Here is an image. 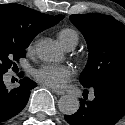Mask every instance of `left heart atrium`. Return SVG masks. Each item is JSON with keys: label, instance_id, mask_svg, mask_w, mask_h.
Listing matches in <instances>:
<instances>
[{"label": "left heart atrium", "instance_id": "39dd6f15", "mask_svg": "<svg viewBox=\"0 0 125 125\" xmlns=\"http://www.w3.org/2000/svg\"><path fill=\"white\" fill-rule=\"evenodd\" d=\"M72 74L70 66L59 64H43L33 72L36 80L52 88L64 86Z\"/></svg>", "mask_w": 125, "mask_h": 125}]
</instances>
